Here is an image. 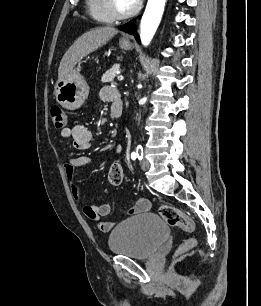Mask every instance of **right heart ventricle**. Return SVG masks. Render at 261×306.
I'll return each mask as SVG.
<instances>
[{"label": "right heart ventricle", "mask_w": 261, "mask_h": 306, "mask_svg": "<svg viewBox=\"0 0 261 306\" xmlns=\"http://www.w3.org/2000/svg\"><path fill=\"white\" fill-rule=\"evenodd\" d=\"M89 15L100 23H111L114 18L107 10L105 0H86Z\"/></svg>", "instance_id": "1"}]
</instances>
